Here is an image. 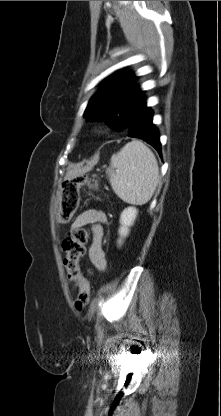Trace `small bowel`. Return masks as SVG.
<instances>
[{
  "instance_id": "c3829d8e",
  "label": "small bowel",
  "mask_w": 221,
  "mask_h": 416,
  "mask_svg": "<svg viewBox=\"0 0 221 416\" xmlns=\"http://www.w3.org/2000/svg\"><path fill=\"white\" fill-rule=\"evenodd\" d=\"M107 222L104 212L98 210H86L81 212L71 224V230L89 226L93 232V239L89 248V258L95 268L104 271L107 267L105 252L103 250V228Z\"/></svg>"
}]
</instances>
